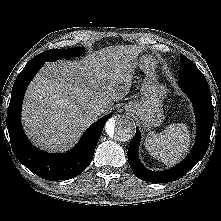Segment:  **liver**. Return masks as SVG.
Here are the masks:
<instances>
[{"label": "liver", "mask_w": 221, "mask_h": 221, "mask_svg": "<svg viewBox=\"0 0 221 221\" xmlns=\"http://www.w3.org/2000/svg\"><path fill=\"white\" fill-rule=\"evenodd\" d=\"M136 45L109 46L80 61L47 63L29 85L22 107L26 134L48 151H65L99 116L130 91L137 57Z\"/></svg>", "instance_id": "liver-1"}]
</instances>
